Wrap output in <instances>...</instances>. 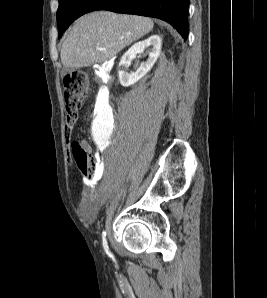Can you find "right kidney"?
Here are the masks:
<instances>
[{"label": "right kidney", "mask_w": 267, "mask_h": 298, "mask_svg": "<svg viewBox=\"0 0 267 298\" xmlns=\"http://www.w3.org/2000/svg\"><path fill=\"white\" fill-rule=\"evenodd\" d=\"M162 40L158 35H152L149 38L135 43L121 58L119 63V81L124 87L131 86L144 77L153 67L160 55ZM150 47L149 57L146 62L141 63L135 73H129L128 67L136 54L142 53L145 48Z\"/></svg>", "instance_id": "right-kidney-1"}]
</instances>
